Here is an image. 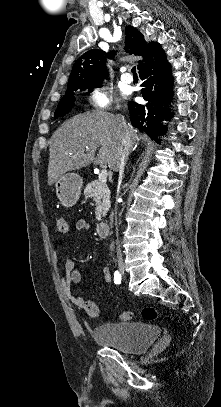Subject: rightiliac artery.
Returning a JSON list of instances; mask_svg holds the SVG:
<instances>
[{
  "instance_id": "1",
  "label": "right iliac artery",
  "mask_w": 221,
  "mask_h": 407,
  "mask_svg": "<svg viewBox=\"0 0 221 407\" xmlns=\"http://www.w3.org/2000/svg\"><path fill=\"white\" fill-rule=\"evenodd\" d=\"M114 282L115 284L121 283V274L118 271H116L114 274Z\"/></svg>"
}]
</instances>
